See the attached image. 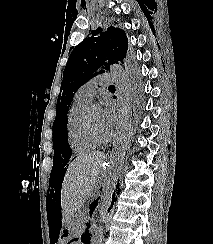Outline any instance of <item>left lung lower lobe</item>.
<instances>
[{"instance_id": "obj_1", "label": "left lung lower lobe", "mask_w": 213, "mask_h": 244, "mask_svg": "<svg viewBox=\"0 0 213 244\" xmlns=\"http://www.w3.org/2000/svg\"><path fill=\"white\" fill-rule=\"evenodd\" d=\"M132 112H133V110H132ZM132 116H133V113H132ZM117 186H118V184H117ZM113 201H114V197H113ZM97 202H98V199L91 203L90 212L94 211L95 207L97 206ZM111 204H113V202ZM108 211H109V209H108Z\"/></svg>"}]
</instances>
